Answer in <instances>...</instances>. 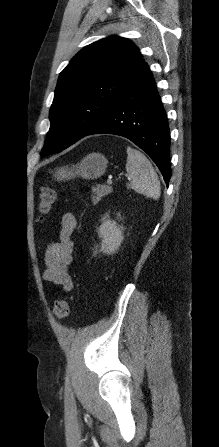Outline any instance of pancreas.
Segmentation results:
<instances>
[{
    "label": "pancreas",
    "mask_w": 219,
    "mask_h": 447,
    "mask_svg": "<svg viewBox=\"0 0 219 447\" xmlns=\"http://www.w3.org/2000/svg\"><path fill=\"white\" fill-rule=\"evenodd\" d=\"M93 195H92V202L93 204H97L102 197L107 196L108 194L113 192L112 187L101 185L98 187H94L92 189Z\"/></svg>",
    "instance_id": "pancreas-1"
}]
</instances>
